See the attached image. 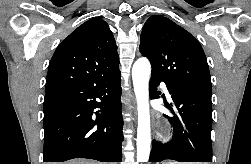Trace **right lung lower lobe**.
<instances>
[{"instance_id": "right-lung-lower-lobe-1", "label": "right lung lower lobe", "mask_w": 251, "mask_h": 164, "mask_svg": "<svg viewBox=\"0 0 251 164\" xmlns=\"http://www.w3.org/2000/svg\"><path fill=\"white\" fill-rule=\"evenodd\" d=\"M120 81L118 67L109 73L46 91L43 162L74 158L121 162ZM96 108L100 110L94 112Z\"/></svg>"}]
</instances>
